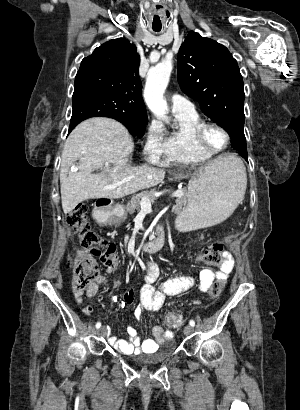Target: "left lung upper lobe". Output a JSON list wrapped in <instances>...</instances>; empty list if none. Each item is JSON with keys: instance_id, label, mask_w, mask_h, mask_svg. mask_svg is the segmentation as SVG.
I'll return each mask as SVG.
<instances>
[{"instance_id": "1", "label": "left lung upper lobe", "mask_w": 300, "mask_h": 410, "mask_svg": "<svg viewBox=\"0 0 300 410\" xmlns=\"http://www.w3.org/2000/svg\"><path fill=\"white\" fill-rule=\"evenodd\" d=\"M177 62L182 91L228 132L235 150L247 155L243 79L232 54L222 44L190 32L179 49Z\"/></svg>"}]
</instances>
